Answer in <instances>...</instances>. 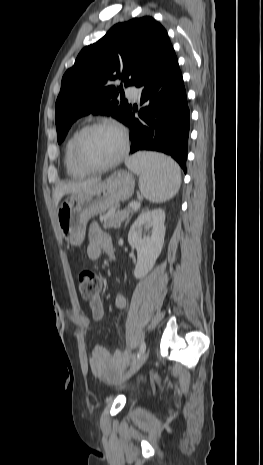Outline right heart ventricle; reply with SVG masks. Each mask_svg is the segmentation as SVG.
Listing matches in <instances>:
<instances>
[{
    "label": "right heart ventricle",
    "instance_id": "obj_1",
    "mask_svg": "<svg viewBox=\"0 0 263 465\" xmlns=\"http://www.w3.org/2000/svg\"><path fill=\"white\" fill-rule=\"evenodd\" d=\"M78 130H75L68 137L64 146V166L67 174L74 179L84 178L88 175V172L82 170L75 162L73 156V144Z\"/></svg>",
    "mask_w": 263,
    "mask_h": 465
}]
</instances>
